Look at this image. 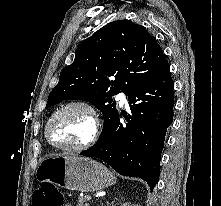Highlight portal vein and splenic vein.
I'll return each instance as SVG.
<instances>
[{
    "instance_id": "obj_1",
    "label": "portal vein and splenic vein",
    "mask_w": 221,
    "mask_h": 206,
    "mask_svg": "<svg viewBox=\"0 0 221 206\" xmlns=\"http://www.w3.org/2000/svg\"><path fill=\"white\" fill-rule=\"evenodd\" d=\"M87 200H91V197L90 196H86L85 197Z\"/></svg>"
}]
</instances>
